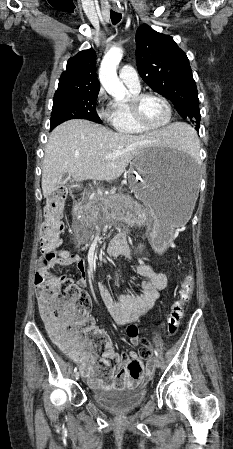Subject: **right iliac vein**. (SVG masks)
<instances>
[{
    "label": "right iliac vein",
    "instance_id": "1",
    "mask_svg": "<svg viewBox=\"0 0 233 449\" xmlns=\"http://www.w3.org/2000/svg\"><path fill=\"white\" fill-rule=\"evenodd\" d=\"M79 377H80V373H79V372H76L75 375H74V378H75L76 380H78Z\"/></svg>",
    "mask_w": 233,
    "mask_h": 449
}]
</instances>
